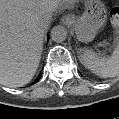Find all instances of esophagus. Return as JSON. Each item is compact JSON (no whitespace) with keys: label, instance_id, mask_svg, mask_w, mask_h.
<instances>
[{"label":"esophagus","instance_id":"34e87169","mask_svg":"<svg viewBox=\"0 0 119 119\" xmlns=\"http://www.w3.org/2000/svg\"><path fill=\"white\" fill-rule=\"evenodd\" d=\"M71 20H72L71 17L66 16V17L63 18L62 21H63V23H66L67 24V23H71Z\"/></svg>","mask_w":119,"mask_h":119}]
</instances>
